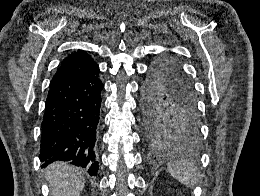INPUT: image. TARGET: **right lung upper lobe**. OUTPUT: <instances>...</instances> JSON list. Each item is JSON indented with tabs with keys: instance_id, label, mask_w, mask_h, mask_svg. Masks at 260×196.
Returning a JSON list of instances; mask_svg holds the SVG:
<instances>
[{
	"instance_id": "1",
	"label": "right lung upper lobe",
	"mask_w": 260,
	"mask_h": 196,
	"mask_svg": "<svg viewBox=\"0 0 260 196\" xmlns=\"http://www.w3.org/2000/svg\"><path fill=\"white\" fill-rule=\"evenodd\" d=\"M98 69V64L90 55L83 52L73 53L62 61L50 85L72 78L84 77Z\"/></svg>"
}]
</instances>
